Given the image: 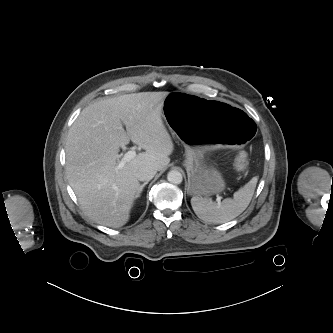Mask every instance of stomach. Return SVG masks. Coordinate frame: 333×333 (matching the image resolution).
Here are the masks:
<instances>
[{
	"label": "stomach",
	"mask_w": 333,
	"mask_h": 333,
	"mask_svg": "<svg viewBox=\"0 0 333 333\" xmlns=\"http://www.w3.org/2000/svg\"><path fill=\"white\" fill-rule=\"evenodd\" d=\"M163 116L185 147L189 194L223 192V176L205 156L222 147H238L253 137L256 130L250 113L224 100L171 92L164 99Z\"/></svg>",
	"instance_id": "1"
}]
</instances>
